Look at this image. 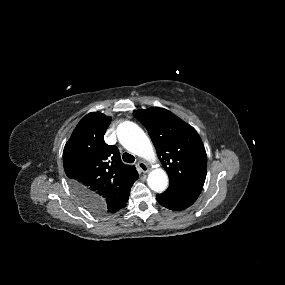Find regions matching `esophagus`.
<instances>
[{"mask_svg": "<svg viewBox=\"0 0 285 285\" xmlns=\"http://www.w3.org/2000/svg\"><path fill=\"white\" fill-rule=\"evenodd\" d=\"M137 167L143 173H147L149 171L148 165L145 162H143V161H139L137 163Z\"/></svg>", "mask_w": 285, "mask_h": 285, "instance_id": "esophagus-1", "label": "esophagus"}]
</instances>
